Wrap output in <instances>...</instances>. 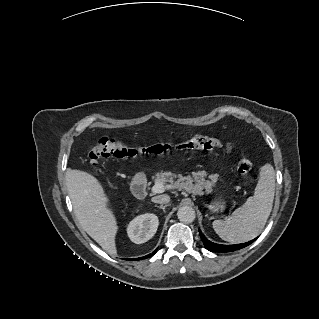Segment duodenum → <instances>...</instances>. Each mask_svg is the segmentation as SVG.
<instances>
[{
	"instance_id": "duodenum-1",
	"label": "duodenum",
	"mask_w": 319,
	"mask_h": 319,
	"mask_svg": "<svg viewBox=\"0 0 319 319\" xmlns=\"http://www.w3.org/2000/svg\"><path fill=\"white\" fill-rule=\"evenodd\" d=\"M133 193L138 199H143L147 195V187L143 183H137L133 186Z\"/></svg>"
}]
</instances>
